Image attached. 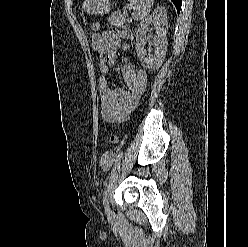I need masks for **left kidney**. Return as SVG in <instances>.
<instances>
[{
	"label": "left kidney",
	"instance_id": "obj_1",
	"mask_svg": "<svg viewBox=\"0 0 248 247\" xmlns=\"http://www.w3.org/2000/svg\"><path fill=\"white\" fill-rule=\"evenodd\" d=\"M150 24L154 26L157 36L153 39L155 47L153 56H146L147 52L144 45L147 38L146 32ZM167 28V13L162 6H158L150 17L140 23L136 32V51L145 69L155 70L162 65L167 51Z\"/></svg>",
	"mask_w": 248,
	"mask_h": 247
}]
</instances>
